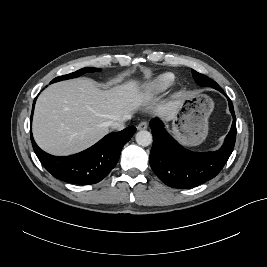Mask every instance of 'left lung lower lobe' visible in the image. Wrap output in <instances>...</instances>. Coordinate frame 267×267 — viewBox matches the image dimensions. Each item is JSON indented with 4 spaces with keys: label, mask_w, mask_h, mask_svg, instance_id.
Returning <instances> with one entry per match:
<instances>
[{
    "label": "left lung lower lobe",
    "mask_w": 267,
    "mask_h": 267,
    "mask_svg": "<svg viewBox=\"0 0 267 267\" xmlns=\"http://www.w3.org/2000/svg\"><path fill=\"white\" fill-rule=\"evenodd\" d=\"M214 89L227 97L233 116L231 130L219 150L205 153L189 151L167 133L158 118L150 122L153 134L150 166L160 180L170 187L192 188L214 178L222 170L234 149L236 118L233 104L220 86H216Z\"/></svg>",
    "instance_id": "left-lung-lower-lobe-1"
}]
</instances>
